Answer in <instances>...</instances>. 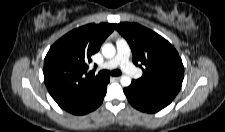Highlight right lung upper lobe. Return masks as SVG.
Instances as JSON below:
<instances>
[{
  "label": "right lung upper lobe",
  "instance_id": "obj_1",
  "mask_svg": "<svg viewBox=\"0 0 225 132\" xmlns=\"http://www.w3.org/2000/svg\"><path fill=\"white\" fill-rule=\"evenodd\" d=\"M116 24H88L60 38L44 60V82L63 109L92 101L102 87L103 78L87 74L91 56L115 29Z\"/></svg>",
  "mask_w": 225,
  "mask_h": 132
}]
</instances>
